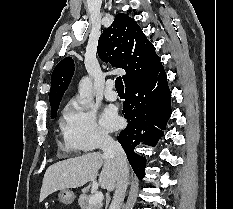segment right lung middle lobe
Wrapping results in <instances>:
<instances>
[{"instance_id": "obj_1", "label": "right lung middle lobe", "mask_w": 233, "mask_h": 209, "mask_svg": "<svg viewBox=\"0 0 233 209\" xmlns=\"http://www.w3.org/2000/svg\"><path fill=\"white\" fill-rule=\"evenodd\" d=\"M57 110H58V109L52 111V115H51V118H52V119L55 117V115H56V113H57Z\"/></svg>"}]
</instances>
